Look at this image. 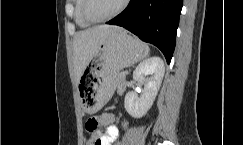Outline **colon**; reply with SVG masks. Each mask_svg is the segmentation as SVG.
<instances>
[{
  "label": "colon",
  "instance_id": "5ec220e1",
  "mask_svg": "<svg viewBox=\"0 0 243 145\" xmlns=\"http://www.w3.org/2000/svg\"><path fill=\"white\" fill-rule=\"evenodd\" d=\"M86 129L88 130L89 133L94 132L96 129H98V120L96 118H90L86 122Z\"/></svg>",
  "mask_w": 243,
  "mask_h": 145
}]
</instances>
